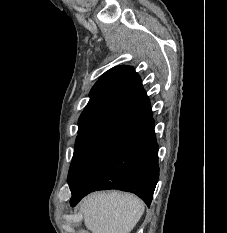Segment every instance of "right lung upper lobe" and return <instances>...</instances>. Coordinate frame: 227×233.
I'll list each match as a JSON object with an SVG mask.
<instances>
[{
	"label": "right lung upper lobe",
	"instance_id": "1",
	"mask_svg": "<svg viewBox=\"0 0 227 233\" xmlns=\"http://www.w3.org/2000/svg\"><path fill=\"white\" fill-rule=\"evenodd\" d=\"M152 117L150 102L139 75L130 66L105 72L90 92L78 122V133L120 136Z\"/></svg>",
	"mask_w": 227,
	"mask_h": 233
}]
</instances>
